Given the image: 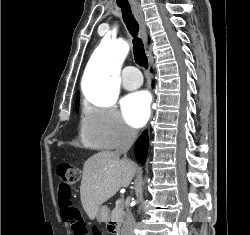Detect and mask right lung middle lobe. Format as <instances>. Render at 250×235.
<instances>
[{"instance_id":"1","label":"right lung middle lobe","mask_w":250,"mask_h":235,"mask_svg":"<svg viewBox=\"0 0 250 235\" xmlns=\"http://www.w3.org/2000/svg\"><path fill=\"white\" fill-rule=\"evenodd\" d=\"M78 105H79V97H77V100H76V110L78 111Z\"/></svg>"}]
</instances>
